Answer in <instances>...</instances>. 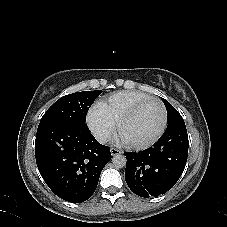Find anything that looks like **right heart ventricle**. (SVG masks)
<instances>
[{"label":"right heart ventricle","instance_id":"1","mask_svg":"<svg viewBox=\"0 0 227 227\" xmlns=\"http://www.w3.org/2000/svg\"><path fill=\"white\" fill-rule=\"evenodd\" d=\"M149 97L141 91H119L98 102L97 105L104 115L117 124L119 119L135 104Z\"/></svg>","mask_w":227,"mask_h":227}]
</instances>
